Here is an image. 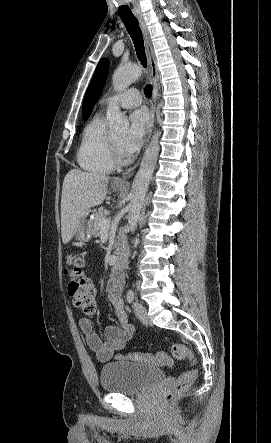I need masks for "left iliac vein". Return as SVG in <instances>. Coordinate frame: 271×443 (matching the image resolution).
<instances>
[{"mask_svg": "<svg viewBox=\"0 0 271 443\" xmlns=\"http://www.w3.org/2000/svg\"><path fill=\"white\" fill-rule=\"evenodd\" d=\"M133 309L135 312L136 317L143 323H148V315L146 308L139 302L135 301L133 303Z\"/></svg>", "mask_w": 271, "mask_h": 443, "instance_id": "left-iliac-vein-1", "label": "left iliac vein"}]
</instances>
